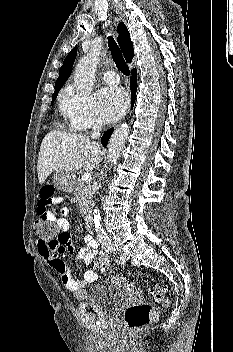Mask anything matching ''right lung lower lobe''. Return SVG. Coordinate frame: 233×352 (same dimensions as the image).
<instances>
[{
    "mask_svg": "<svg viewBox=\"0 0 233 352\" xmlns=\"http://www.w3.org/2000/svg\"><path fill=\"white\" fill-rule=\"evenodd\" d=\"M137 73H136V69H133L132 70V76H131V81H130V89H131V108L133 107L134 105V101H135V97H136V90H137ZM114 131V128H111L109 130H107L102 138H101V143L103 144V146L106 147L107 143H108V140L109 138L111 137V134L113 133Z\"/></svg>",
    "mask_w": 233,
    "mask_h": 352,
    "instance_id": "obj_1",
    "label": "right lung lower lobe"
}]
</instances>
